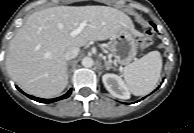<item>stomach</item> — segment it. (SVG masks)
I'll return each instance as SVG.
<instances>
[{
  "label": "stomach",
  "mask_w": 194,
  "mask_h": 133,
  "mask_svg": "<svg viewBox=\"0 0 194 133\" xmlns=\"http://www.w3.org/2000/svg\"><path fill=\"white\" fill-rule=\"evenodd\" d=\"M136 31L133 28H123L112 38L108 47L110 57L115 63L128 65L137 54Z\"/></svg>",
  "instance_id": "obj_1"
}]
</instances>
